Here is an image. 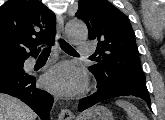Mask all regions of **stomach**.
<instances>
[{
	"instance_id": "obj_1",
	"label": "stomach",
	"mask_w": 165,
	"mask_h": 120,
	"mask_svg": "<svg viewBox=\"0 0 165 120\" xmlns=\"http://www.w3.org/2000/svg\"><path fill=\"white\" fill-rule=\"evenodd\" d=\"M80 120H114V117L109 109L98 105L85 111Z\"/></svg>"
}]
</instances>
